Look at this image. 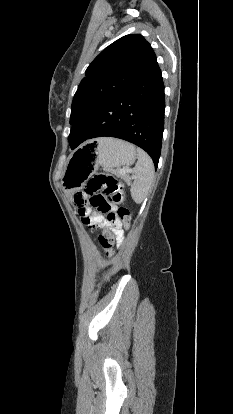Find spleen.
Segmentation results:
<instances>
[{"label":"spleen","mask_w":233,"mask_h":414,"mask_svg":"<svg viewBox=\"0 0 233 414\" xmlns=\"http://www.w3.org/2000/svg\"><path fill=\"white\" fill-rule=\"evenodd\" d=\"M138 161L134 168L131 196L139 204L147 196L154 182V164L150 156L140 148H137Z\"/></svg>","instance_id":"obj_1"}]
</instances>
